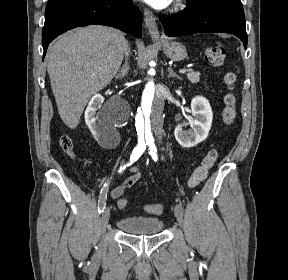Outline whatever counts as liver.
<instances>
[{"label": "liver", "mask_w": 288, "mask_h": 280, "mask_svg": "<svg viewBox=\"0 0 288 280\" xmlns=\"http://www.w3.org/2000/svg\"><path fill=\"white\" fill-rule=\"evenodd\" d=\"M127 41L112 27L91 25L62 35L48 51L47 71L62 121L79 124L89 99L118 72Z\"/></svg>", "instance_id": "1"}]
</instances>
